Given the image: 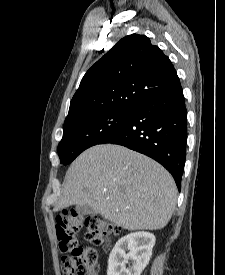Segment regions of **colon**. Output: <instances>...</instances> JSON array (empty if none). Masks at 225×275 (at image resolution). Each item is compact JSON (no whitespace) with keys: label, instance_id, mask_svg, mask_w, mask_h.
Wrapping results in <instances>:
<instances>
[{"label":"colon","instance_id":"5ec220e1","mask_svg":"<svg viewBox=\"0 0 225 275\" xmlns=\"http://www.w3.org/2000/svg\"><path fill=\"white\" fill-rule=\"evenodd\" d=\"M85 226L86 239L93 245H101L105 239L118 234V229L109 221L94 215L82 216L75 212L63 211L56 221V237L61 251H70L61 260L62 275H92L97 260L93 248L77 246L75 234Z\"/></svg>","mask_w":225,"mask_h":275}]
</instances>
